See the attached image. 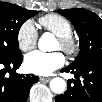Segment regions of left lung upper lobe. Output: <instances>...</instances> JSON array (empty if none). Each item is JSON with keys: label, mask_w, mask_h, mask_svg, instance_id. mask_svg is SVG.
Masks as SVG:
<instances>
[{"label": "left lung upper lobe", "mask_w": 102, "mask_h": 102, "mask_svg": "<svg viewBox=\"0 0 102 102\" xmlns=\"http://www.w3.org/2000/svg\"><path fill=\"white\" fill-rule=\"evenodd\" d=\"M74 25L80 40V52L70 66L92 61L102 62V20L93 12L73 8L58 10Z\"/></svg>", "instance_id": "1"}]
</instances>
